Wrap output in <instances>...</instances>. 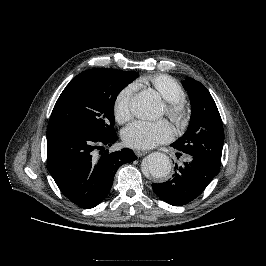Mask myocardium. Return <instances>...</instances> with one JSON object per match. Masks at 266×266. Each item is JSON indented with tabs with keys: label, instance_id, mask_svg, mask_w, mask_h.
I'll list each match as a JSON object with an SVG mask.
<instances>
[{
	"label": "myocardium",
	"instance_id": "myocardium-1",
	"mask_svg": "<svg viewBox=\"0 0 266 266\" xmlns=\"http://www.w3.org/2000/svg\"><path fill=\"white\" fill-rule=\"evenodd\" d=\"M165 113L180 128L186 127L191 117V110L184 100L166 101Z\"/></svg>",
	"mask_w": 266,
	"mask_h": 266
}]
</instances>
